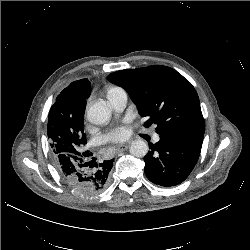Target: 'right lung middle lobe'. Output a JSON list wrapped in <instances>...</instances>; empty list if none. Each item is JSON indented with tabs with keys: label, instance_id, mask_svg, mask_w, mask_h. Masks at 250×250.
I'll return each instance as SVG.
<instances>
[{
	"label": "right lung middle lobe",
	"instance_id": "1",
	"mask_svg": "<svg viewBox=\"0 0 250 250\" xmlns=\"http://www.w3.org/2000/svg\"><path fill=\"white\" fill-rule=\"evenodd\" d=\"M83 123L84 118L79 119L74 125L59 122L56 118H48L47 134L55 161L60 154H67L70 157L73 155L83 157L87 154V152L82 153L80 149L87 143Z\"/></svg>",
	"mask_w": 250,
	"mask_h": 250
}]
</instances>
